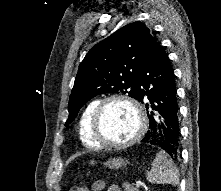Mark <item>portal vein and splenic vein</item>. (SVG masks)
Returning a JSON list of instances; mask_svg holds the SVG:
<instances>
[{
	"mask_svg": "<svg viewBox=\"0 0 221 191\" xmlns=\"http://www.w3.org/2000/svg\"><path fill=\"white\" fill-rule=\"evenodd\" d=\"M135 185H136L137 188H140V187H141V183H140V182H136Z\"/></svg>",
	"mask_w": 221,
	"mask_h": 191,
	"instance_id": "portal-vein-and-splenic-vein-1",
	"label": "portal vein and splenic vein"
}]
</instances>
